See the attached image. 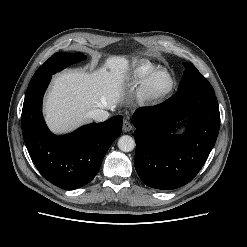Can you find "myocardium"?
Segmentation results:
<instances>
[{
	"label": "myocardium",
	"instance_id": "f54148a6",
	"mask_svg": "<svg viewBox=\"0 0 247 247\" xmlns=\"http://www.w3.org/2000/svg\"><path fill=\"white\" fill-rule=\"evenodd\" d=\"M157 73H163L165 74L169 80H170V86L167 89L166 92H164L163 94L159 95V96H152L151 94H149L148 92V84L150 79ZM175 79L173 77V75L165 68H161V67H157L151 71H149L140 81L137 91H136V98L137 100L143 104V105H157L160 104L162 102H164L165 100H167L171 94L173 93L174 89H175Z\"/></svg>",
	"mask_w": 247,
	"mask_h": 247
}]
</instances>
